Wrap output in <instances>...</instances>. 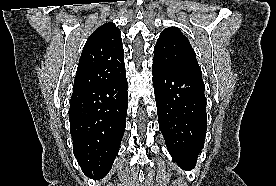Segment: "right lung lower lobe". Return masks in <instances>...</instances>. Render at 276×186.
<instances>
[{"instance_id": "98d812e1", "label": "right lung lower lobe", "mask_w": 276, "mask_h": 186, "mask_svg": "<svg viewBox=\"0 0 276 186\" xmlns=\"http://www.w3.org/2000/svg\"><path fill=\"white\" fill-rule=\"evenodd\" d=\"M126 74L111 83L73 89L69 120L73 152L87 177L102 179L118 154L126 127Z\"/></svg>"}]
</instances>
